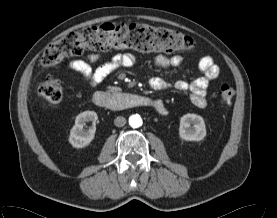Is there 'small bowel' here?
I'll return each mask as SVG.
<instances>
[{
	"label": "small bowel",
	"mask_w": 277,
	"mask_h": 218,
	"mask_svg": "<svg viewBox=\"0 0 277 218\" xmlns=\"http://www.w3.org/2000/svg\"><path fill=\"white\" fill-rule=\"evenodd\" d=\"M100 60V55L89 54L85 59L69 61L67 68L89 85L97 86L119 67H131L135 63V57L130 53L116 54L109 61L94 66ZM183 60V56L179 54L173 56L158 55L155 58V64L161 68L178 67L183 63ZM198 66L202 76L192 82L178 80L172 87L178 91L189 92L191 102L199 108H204L207 106L208 86L211 81L219 77L220 68L210 56L202 57ZM149 83L155 90H164L171 87L169 83L159 77L151 78ZM159 101L161 106L158 108V112L163 113L165 104L161 100Z\"/></svg>",
	"instance_id": "obj_1"
}]
</instances>
